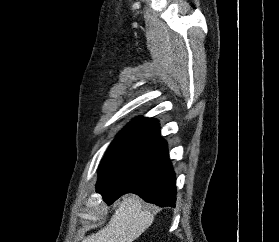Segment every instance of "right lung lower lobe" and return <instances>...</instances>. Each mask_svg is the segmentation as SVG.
Listing matches in <instances>:
<instances>
[{"label": "right lung lower lobe", "instance_id": "98d812e1", "mask_svg": "<svg viewBox=\"0 0 279 242\" xmlns=\"http://www.w3.org/2000/svg\"><path fill=\"white\" fill-rule=\"evenodd\" d=\"M176 178L169 160L167 143L160 132L114 173L97 183L108 205L126 193H135L160 207L175 206Z\"/></svg>", "mask_w": 279, "mask_h": 242}]
</instances>
